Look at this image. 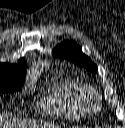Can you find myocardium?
I'll list each match as a JSON object with an SVG mask.
<instances>
[{
	"label": "myocardium",
	"mask_w": 125,
	"mask_h": 128,
	"mask_svg": "<svg viewBox=\"0 0 125 128\" xmlns=\"http://www.w3.org/2000/svg\"><path fill=\"white\" fill-rule=\"evenodd\" d=\"M86 90H87V94H88V100L87 101H88L89 107L91 109L98 108V100H99L98 94L91 87H86Z\"/></svg>",
	"instance_id": "f54148a6"
}]
</instances>
